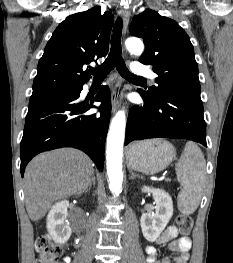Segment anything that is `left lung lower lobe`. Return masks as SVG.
<instances>
[{
	"instance_id": "1",
	"label": "left lung lower lobe",
	"mask_w": 233,
	"mask_h": 263,
	"mask_svg": "<svg viewBox=\"0 0 233 263\" xmlns=\"http://www.w3.org/2000/svg\"><path fill=\"white\" fill-rule=\"evenodd\" d=\"M143 106H133L127 121L125 145L147 138H180L206 144V123L199 92L171 90L152 99L138 90Z\"/></svg>"
}]
</instances>
